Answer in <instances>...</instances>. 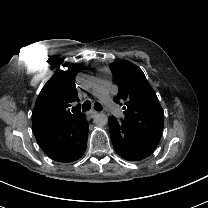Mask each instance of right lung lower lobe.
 Returning <instances> with one entry per match:
<instances>
[{
    "label": "right lung lower lobe",
    "mask_w": 208,
    "mask_h": 208,
    "mask_svg": "<svg viewBox=\"0 0 208 208\" xmlns=\"http://www.w3.org/2000/svg\"><path fill=\"white\" fill-rule=\"evenodd\" d=\"M88 128L84 115L68 124L33 129V133L48 157L72 162L80 159L86 150Z\"/></svg>",
    "instance_id": "98d812e1"
}]
</instances>
